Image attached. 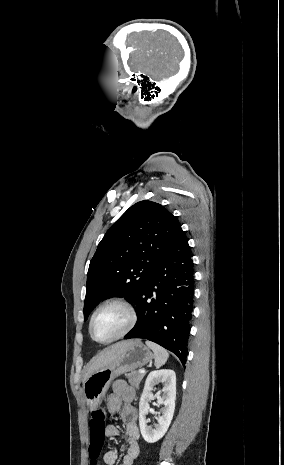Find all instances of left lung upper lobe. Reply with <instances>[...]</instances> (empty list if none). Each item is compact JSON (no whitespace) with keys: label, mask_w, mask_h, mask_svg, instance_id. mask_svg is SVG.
<instances>
[{"label":"left lung upper lobe","mask_w":284,"mask_h":465,"mask_svg":"<svg viewBox=\"0 0 284 465\" xmlns=\"http://www.w3.org/2000/svg\"><path fill=\"white\" fill-rule=\"evenodd\" d=\"M181 226L162 205L140 201L106 232L87 274L84 318L104 298L136 302L155 265L172 247Z\"/></svg>","instance_id":"1"}]
</instances>
